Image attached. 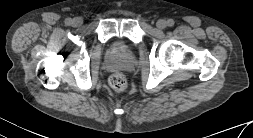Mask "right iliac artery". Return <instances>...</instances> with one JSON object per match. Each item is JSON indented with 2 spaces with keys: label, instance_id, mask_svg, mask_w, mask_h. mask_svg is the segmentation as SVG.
<instances>
[{
  "label": "right iliac artery",
  "instance_id": "obj_1",
  "mask_svg": "<svg viewBox=\"0 0 253 138\" xmlns=\"http://www.w3.org/2000/svg\"><path fill=\"white\" fill-rule=\"evenodd\" d=\"M71 20L70 19H66L65 21H64V24L66 25V26H70L71 25Z\"/></svg>",
  "mask_w": 253,
  "mask_h": 138
}]
</instances>
